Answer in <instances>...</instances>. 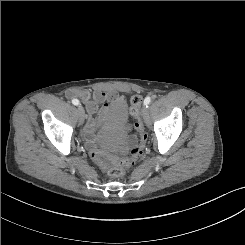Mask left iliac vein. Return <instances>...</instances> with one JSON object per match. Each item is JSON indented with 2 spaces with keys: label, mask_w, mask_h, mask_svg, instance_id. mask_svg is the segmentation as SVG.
Instances as JSON below:
<instances>
[{
  "label": "left iliac vein",
  "mask_w": 245,
  "mask_h": 245,
  "mask_svg": "<svg viewBox=\"0 0 245 245\" xmlns=\"http://www.w3.org/2000/svg\"><path fill=\"white\" fill-rule=\"evenodd\" d=\"M142 116H143L146 124L149 126L150 125V116H149L148 108L146 106H144L142 109Z\"/></svg>",
  "instance_id": "left-iliac-vein-1"
}]
</instances>
